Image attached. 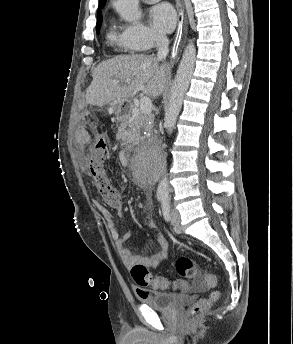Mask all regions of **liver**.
I'll return each instance as SVG.
<instances>
[{"mask_svg": "<svg viewBox=\"0 0 293 344\" xmlns=\"http://www.w3.org/2000/svg\"><path fill=\"white\" fill-rule=\"evenodd\" d=\"M154 55L132 54L117 56L100 63L92 73L87 89L86 102L104 106L113 101L128 100L142 91L150 97H158L165 90L168 71L159 65ZM116 80L119 83L115 84Z\"/></svg>", "mask_w": 293, "mask_h": 344, "instance_id": "1", "label": "liver"}]
</instances>
